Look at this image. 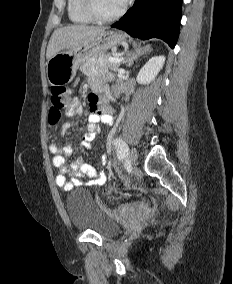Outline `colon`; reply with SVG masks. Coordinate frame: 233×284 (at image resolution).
Masks as SVG:
<instances>
[{
  "label": "colon",
  "mask_w": 233,
  "mask_h": 284,
  "mask_svg": "<svg viewBox=\"0 0 233 284\" xmlns=\"http://www.w3.org/2000/svg\"><path fill=\"white\" fill-rule=\"evenodd\" d=\"M71 99V91L69 88L61 85H54L51 88L49 123L56 125L62 116V112L67 108ZM99 207L106 213L118 219H136L145 216L150 211V206L139 201L127 205H122L115 209L108 208L99 198H96Z\"/></svg>",
  "instance_id": "colon-1"
}]
</instances>
